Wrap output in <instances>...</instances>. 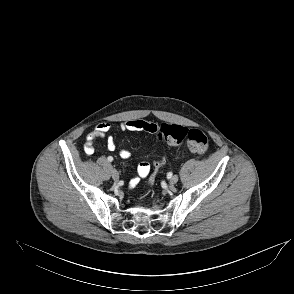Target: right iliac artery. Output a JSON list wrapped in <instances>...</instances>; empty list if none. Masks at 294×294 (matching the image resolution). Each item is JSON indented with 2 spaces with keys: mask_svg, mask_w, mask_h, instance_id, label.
<instances>
[{
  "mask_svg": "<svg viewBox=\"0 0 294 294\" xmlns=\"http://www.w3.org/2000/svg\"><path fill=\"white\" fill-rule=\"evenodd\" d=\"M113 160V158L110 156V157H108V161H112Z\"/></svg>",
  "mask_w": 294,
  "mask_h": 294,
  "instance_id": "right-iliac-artery-1",
  "label": "right iliac artery"
}]
</instances>
